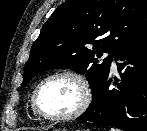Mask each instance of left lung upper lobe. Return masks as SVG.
<instances>
[{
    "mask_svg": "<svg viewBox=\"0 0 147 131\" xmlns=\"http://www.w3.org/2000/svg\"><path fill=\"white\" fill-rule=\"evenodd\" d=\"M146 32L147 0H68L44 23L32 45L22 87L39 72L70 68L85 74L94 97L112 58ZM102 53L109 56L100 62Z\"/></svg>",
    "mask_w": 147,
    "mask_h": 131,
    "instance_id": "5c2ea615",
    "label": "left lung upper lobe"
}]
</instances>
